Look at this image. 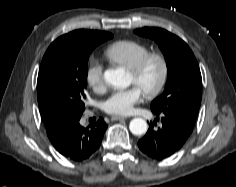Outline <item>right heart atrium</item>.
<instances>
[{"instance_id": "d8ad5b80", "label": "right heart atrium", "mask_w": 236, "mask_h": 187, "mask_svg": "<svg viewBox=\"0 0 236 187\" xmlns=\"http://www.w3.org/2000/svg\"><path fill=\"white\" fill-rule=\"evenodd\" d=\"M85 80L87 85L96 92H101L105 89V79L102 65L97 62H91L85 73Z\"/></svg>"}]
</instances>
